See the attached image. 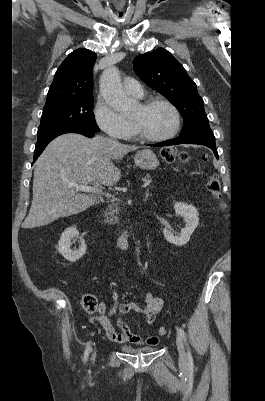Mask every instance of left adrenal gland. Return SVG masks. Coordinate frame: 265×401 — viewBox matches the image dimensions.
Instances as JSON below:
<instances>
[{
	"mask_svg": "<svg viewBox=\"0 0 265 401\" xmlns=\"http://www.w3.org/2000/svg\"><path fill=\"white\" fill-rule=\"evenodd\" d=\"M148 196H149V190H146L144 201H147Z\"/></svg>",
	"mask_w": 265,
	"mask_h": 401,
	"instance_id": "a2214340",
	"label": "left adrenal gland"
}]
</instances>
